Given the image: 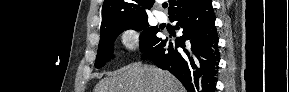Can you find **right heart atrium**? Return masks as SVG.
I'll return each instance as SVG.
<instances>
[{"label": "right heart atrium", "instance_id": "right-heart-atrium-1", "mask_svg": "<svg viewBox=\"0 0 289 92\" xmlns=\"http://www.w3.org/2000/svg\"><path fill=\"white\" fill-rule=\"evenodd\" d=\"M119 42L127 52H135L142 43L141 31L134 27L125 28L119 33Z\"/></svg>", "mask_w": 289, "mask_h": 92}]
</instances>
